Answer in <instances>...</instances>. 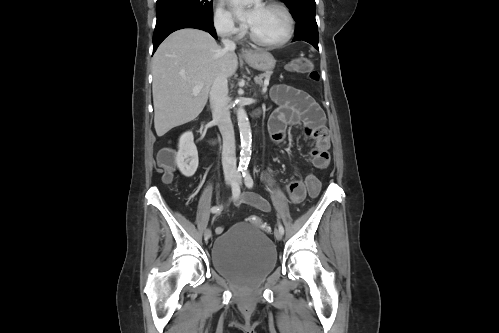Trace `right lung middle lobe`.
I'll return each instance as SVG.
<instances>
[{
    "label": "right lung middle lobe",
    "instance_id": "1",
    "mask_svg": "<svg viewBox=\"0 0 499 333\" xmlns=\"http://www.w3.org/2000/svg\"><path fill=\"white\" fill-rule=\"evenodd\" d=\"M156 16L159 24L171 18L193 17L213 20L211 0H157Z\"/></svg>",
    "mask_w": 499,
    "mask_h": 333
}]
</instances>
